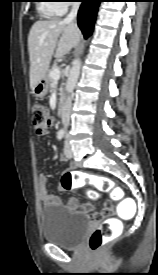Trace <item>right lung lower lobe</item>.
<instances>
[{
    "mask_svg": "<svg viewBox=\"0 0 158 275\" xmlns=\"http://www.w3.org/2000/svg\"><path fill=\"white\" fill-rule=\"evenodd\" d=\"M102 0H82V5L78 12V26L84 38H88L93 31L98 6Z\"/></svg>",
    "mask_w": 158,
    "mask_h": 275,
    "instance_id": "obj_1",
    "label": "right lung lower lobe"
}]
</instances>
